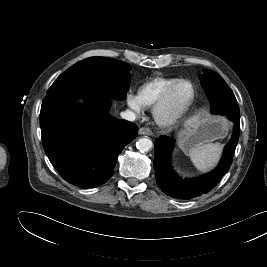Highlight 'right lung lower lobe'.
Instances as JSON below:
<instances>
[{"label": "right lung lower lobe", "instance_id": "obj_1", "mask_svg": "<svg viewBox=\"0 0 267 267\" xmlns=\"http://www.w3.org/2000/svg\"><path fill=\"white\" fill-rule=\"evenodd\" d=\"M76 97L86 100L84 105ZM109 96L70 91L42 103L43 147L54 168L67 182L94 188L113 174L117 157L138 134V127L112 117Z\"/></svg>", "mask_w": 267, "mask_h": 267}]
</instances>
